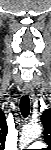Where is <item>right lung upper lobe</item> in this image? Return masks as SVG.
<instances>
[{"mask_svg":"<svg viewBox=\"0 0 51 150\" xmlns=\"http://www.w3.org/2000/svg\"><path fill=\"white\" fill-rule=\"evenodd\" d=\"M7 132H8V127H7L5 114L0 110V150L4 149Z\"/></svg>","mask_w":51,"mask_h":150,"instance_id":"right-lung-upper-lobe-1","label":"right lung upper lobe"}]
</instances>
